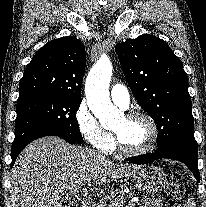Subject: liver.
Masks as SVG:
<instances>
[{
  "label": "liver",
  "mask_w": 206,
  "mask_h": 207,
  "mask_svg": "<svg viewBox=\"0 0 206 207\" xmlns=\"http://www.w3.org/2000/svg\"><path fill=\"white\" fill-rule=\"evenodd\" d=\"M136 168L57 136L43 137L26 146L12 168V206L61 207L62 193L84 184L101 196L103 185L130 176Z\"/></svg>",
  "instance_id": "6515ba94"
}]
</instances>
